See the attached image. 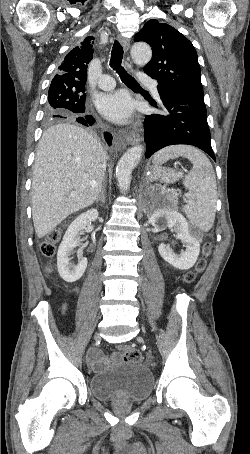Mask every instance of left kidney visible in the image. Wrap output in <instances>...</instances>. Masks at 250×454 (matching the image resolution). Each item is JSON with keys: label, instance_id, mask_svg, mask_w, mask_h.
Here are the masks:
<instances>
[{"label": "left kidney", "instance_id": "obj_1", "mask_svg": "<svg viewBox=\"0 0 250 454\" xmlns=\"http://www.w3.org/2000/svg\"><path fill=\"white\" fill-rule=\"evenodd\" d=\"M148 219L152 224L164 220L166 225L176 232V238L181 240L186 248L184 252L178 255L169 246L161 243L158 246L161 257L179 270H188L193 267L200 252V241L192 232L185 217L175 209L163 208L154 211Z\"/></svg>", "mask_w": 250, "mask_h": 454}]
</instances>
